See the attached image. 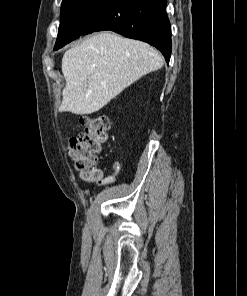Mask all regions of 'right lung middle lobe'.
I'll return each instance as SVG.
<instances>
[{"instance_id":"right-lung-middle-lobe-1","label":"right lung middle lobe","mask_w":247,"mask_h":296,"mask_svg":"<svg viewBox=\"0 0 247 296\" xmlns=\"http://www.w3.org/2000/svg\"><path fill=\"white\" fill-rule=\"evenodd\" d=\"M106 2L107 0H62L61 21L54 50L82 35L88 19Z\"/></svg>"}]
</instances>
